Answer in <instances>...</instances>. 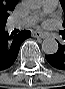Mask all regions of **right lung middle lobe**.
<instances>
[{
    "label": "right lung middle lobe",
    "instance_id": "dd1d6c3e",
    "mask_svg": "<svg viewBox=\"0 0 65 89\" xmlns=\"http://www.w3.org/2000/svg\"><path fill=\"white\" fill-rule=\"evenodd\" d=\"M6 18H7V17L0 18V28H4V27H5Z\"/></svg>",
    "mask_w": 65,
    "mask_h": 89
}]
</instances>
